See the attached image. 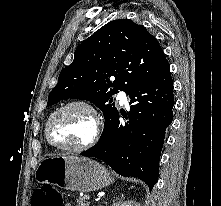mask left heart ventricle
I'll list each match as a JSON object with an SVG mask.
<instances>
[{"label":"left heart ventricle","mask_w":221,"mask_h":206,"mask_svg":"<svg viewBox=\"0 0 221 206\" xmlns=\"http://www.w3.org/2000/svg\"><path fill=\"white\" fill-rule=\"evenodd\" d=\"M92 128L89 113L82 108L73 107L62 112L53 120L50 136L59 145L76 146L90 138Z\"/></svg>","instance_id":"b2bd125f"}]
</instances>
